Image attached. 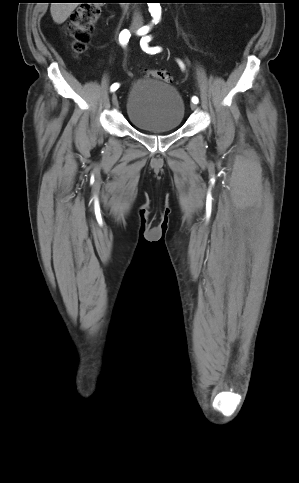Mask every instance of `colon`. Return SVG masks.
Instances as JSON below:
<instances>
[{"mask_svg":"<svg viewBox=\"0 0 299 483\" xmlns=\"http://www.w3.org/2000/svg\"><path fill=\"white\" fill-rule=\"evenodd\" d=\"M102 2L93 1L77 8L71 15L67 32L72 38V49L76 55L86 52L92 31L102 13ZM148 78L170 82L171 76L166 70L144 68Z\"/></svg>","mask_w":299,"mask_h":483,"instance_id":"colon-1","label":"colon"}]
</instances>
